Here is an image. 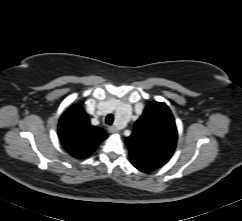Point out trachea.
<instances>
[{"label":"trachea","mask_w":242,"mask_h":221,"mask_svg":"<svg viewBox=\"0 0 242 221\" xmlns=\"http://www.w3.org/2000/svg\"><path fill=\"white\" fill-rule=\"evenodd\" d=\"M113 121H114L113 114H108L106 116L105 123L108 124V125H112Z\"/></svg>","instance_id":"trachea-1"}]
</instances>
